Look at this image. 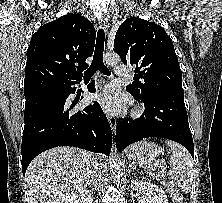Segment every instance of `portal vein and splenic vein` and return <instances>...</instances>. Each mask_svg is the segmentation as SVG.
I'll return each mask as SVG.
<instances>
[{"mask_svg": "<svg viewBox=\"0 0 222 203\" xmlns=\"http://www.w3.org/2000/svg\"><path fill=\"white\" fill-rule=\"evenodd\" d=\"M144 164H145V163H143V162H142V163H140V165H141V166H142V165H144Z\"/></svg>", "mask_w": 222, "mask_h": 203, "instance_id": "18ae733b", "label": "portal vein and splenic vein"}]
</instances>
